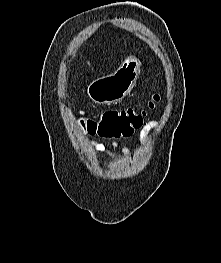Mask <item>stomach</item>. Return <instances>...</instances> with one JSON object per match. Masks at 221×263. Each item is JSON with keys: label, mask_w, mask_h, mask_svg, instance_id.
Instances as JSON below:
<instances>
[{"label": "stomach", "mask_w": 221, "mask_h": 263, "mask_svg": "<svg viewBox=\"0 0 221 263\" xmlns=\"http://www.w3.org/2000/svg\"><path fill=\"white\" fill-rule=\"evenodd\" d=\"M141 62L127 57L110 75L95 79L87 86L89 98L98 104H111L122 100L133 89L140 74Z\"/></svg>", "instance_id": "0dacf381"}]
</instances>
